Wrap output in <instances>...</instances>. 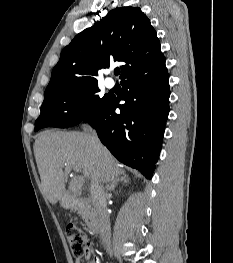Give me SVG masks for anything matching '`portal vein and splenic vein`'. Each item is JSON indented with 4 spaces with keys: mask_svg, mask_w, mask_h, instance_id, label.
Listing matches in <instances>:
<instances>
[{
    "mask_svg": "<svg viewBox=\"0 0 233 263\" xmlns=\"http://www.w3.org/2000/svg\"><path fill=\"white\" fill-rule=\"evenodd\" d=\"M74 169L79 171L77 167H74ZM78 180H79L80 184H83V182H84V178L83 177H79Z\"/></svg>",
    "mask_w": 233,
    "mask_h": 263,
    "instance_id": "18ae733b",
    "label": "portal vein and splenic vein"
}]
</instances>
